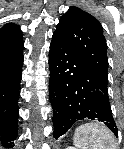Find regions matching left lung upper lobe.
<instances>
[{
    "label": "left lung upper lobe",
    "mask_w": 124,
    "mask_h": 149,
    "mask_svg": "<svg viewBox=\"0 0 124 149\" xmlns=\"http://www.w3.org/2000/svg\"><path fill=\"white\" fill-rule=\"evenodd\" d=\"M55 32L98 73L108 77L106 39L103 28L96 18L72 6L61 17Z\"/></svg>",
    "instance_id": "obj_1"
}]
</instances>
